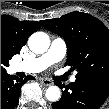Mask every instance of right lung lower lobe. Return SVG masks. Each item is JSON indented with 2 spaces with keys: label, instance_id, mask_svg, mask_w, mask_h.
<instances>
[{
  "label": "right lung lower lobe",
  "instance_id": "98d812e1",
  "mask_svg": "<svg viewBox=\"0 0 109 109\" xmlns=\"http://www.w3.org/2000/svg\"><path fill=\"white\" fill-rule=\"evenodd\" d=\"M32 78L27 76L23 80L10 76L6 72L1 73V109H14L18 103L22 85L27 79Z\"/></svg>",
  "mask_w": 109,
  "mask_h": 109
}]
</instances>
